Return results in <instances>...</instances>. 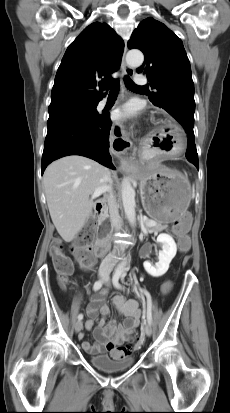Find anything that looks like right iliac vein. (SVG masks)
<instances>
[{
	"instance_id": "right-iliac-vein-1",
	"label": "right iliac vein",
	"mask_w": 230,
	"mask_h": 413,
	"mask_svg": "<svg viewBox=\"0 0 230 413\" xmlns=\"http://www.w3.org/2000/svg\"><path fill=\"white\" fill-rule=\"evenodd\" d=\"M103 276H104V273H101V277ZM82 328H83V322L81 320H78L74 325L75 332L77 333L80 332Z\"/></svg>"
}]
</instances>
